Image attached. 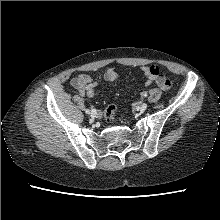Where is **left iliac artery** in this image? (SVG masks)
<instances>
[{"label":"left iliac artery","mask_w":220,"mask_h":220,"mask_svg":"<svg viewBox=\"0 0 220 220\" xmlns=\"http://www.w3.org/2000/svg\"><path fill=\"white\" fill-rule=\"evenodd\" d=\"M141 96H142V97H146V96H147V92H146V91L142 92V93H141Z\"/></svg>","instance_id":"44dca946"}]
</instances>
